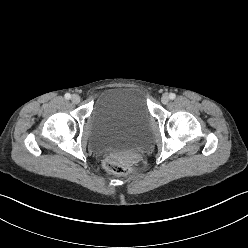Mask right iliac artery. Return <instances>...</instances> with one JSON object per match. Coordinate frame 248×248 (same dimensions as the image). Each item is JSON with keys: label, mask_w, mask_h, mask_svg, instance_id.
<instances>
[{"label": "right iliac artery", "mask_w": 248, "mask_h": 248, "mask_svg": "<svg viewBox=\"0 0 248 248\" xmlns=\"http://www.w3.org/2000/svg\"><path fill=\"white\" fill-rule=\"evenodd\" d=\"M64 97H65V99H70L71 95L69 93H66Z\"/></svg>", "instance_id": "obj_1"}]
</instances>
